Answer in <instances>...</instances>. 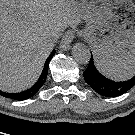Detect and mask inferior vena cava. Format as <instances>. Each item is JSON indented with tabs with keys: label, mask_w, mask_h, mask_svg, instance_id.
<instances>
[{
	"label": "inferior vena cava",
	"mask_w": 135,
	"mask_h": 135,
	"mask_svg": "<svg viewBox=\"0 0 135 135\" xmlns=\"http://www.w3.org/2000/svg\"><path fill=\"white\" fill-rule=\"evenodd\" d=\"M59 37H60L59 34L53 35V36L50 38V40H49L50 44H51L52 46H54V45H55V42L57 41V39H58Z\"/></svg>",
	"instance_id": "1"
}]
</instances>
